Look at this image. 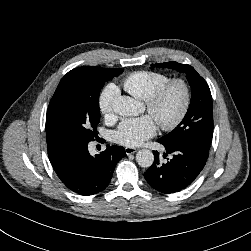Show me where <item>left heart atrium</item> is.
<instances>
[{"mask_svg": "<svg viewBox=\"0 0 251 251\" xmlns=\"http://www.w3.org/2000/svg\"><path fill=\"white\" fill-rule=\"evenodd\" d=\"M156 122L150 115L128 118L121 122L114 133V140L127 147H136L156 133Z\"/></svg>", "mask_w": 251, "mask_h": 251, "instance_id": "obj_1", "label": "left heart atrium"}]
</instances>
